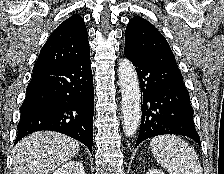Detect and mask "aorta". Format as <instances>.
Segmentation results:
<instances>
[{
    "instance_id": "aorta-1",
    "label": "aorta",
    "mask_w": 224,
    "mask_h": 174,
    "mask_svg": "<svg viewBox=\"0 0 224 174\" xmlns=\"http://www.w3.org/2000/svg\"><path fill=\"white\" fill-rule=\"evenodd\" d=\"M122 94V114L125 135L136 133L141 120V94L137 72L128 59H122L118 69Z\"/></svg>"
}]
</instances>
